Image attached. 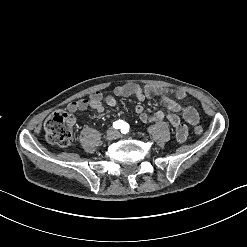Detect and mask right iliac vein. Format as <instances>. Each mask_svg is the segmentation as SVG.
<instances>
[{
  "mask_svg": "<svg viewBox=\"0 0 247 247\" xmlns=\"http://www.w3.org/2000/svg\"><path fill=\"white\" fill-rule=\"evenodd\" d=\"M116 136H117L116 131H115L114 129H109V130L107 131V134H106L105 137H106L107 140H111V139L116 138Z\"/></svg>",
  "mask_w": 247,
  "mask_h": 247,
  "instance_id": "1",
  "label": "right iliac vein"
}]
</instances>
